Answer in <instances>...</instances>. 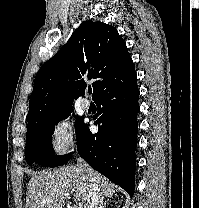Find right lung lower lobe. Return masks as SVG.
<instances>
[{
    "label": "right lung lower lobe",
    "mask_w": 199,
    "mask_h": 208,
    "mask_svg": "<svg viewBox=\"0 0 199 208\" xmlns=\"http://www.w3.org/2000/svg\"><path fill=\"white\" fill-rule=\"evenodd\" d=\"M138 98L136 74L99 94L94 99L99 109L94 122L98 132L91 133L86 125L77 146L91 167L130 195L135 184Z\"/></svg>",
    "instance_id": "right-lung-lower-lobe-1"
}]
</instances>
